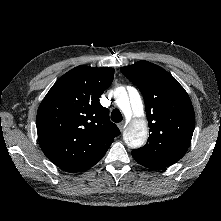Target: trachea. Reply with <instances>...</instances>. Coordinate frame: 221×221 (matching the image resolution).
Returning <instances> with one entry per match:
<instances>
[{
	"label": "trachea",
	"instance_id": "trachea-1",
	"mask_svg": "<svg viewBox=\"0 0 221 221\" xmlns=\"http://www.w3.org/2000/svg\"><path fill=\"white\" fill-rule=\"evenodd\" d=\"M111 120L115 123H119L123 120L122 114L118 109H114L111 112Z\"/></svg>",
	"mask_w": 221,
	"mask_h": 221
}]
</instances>
